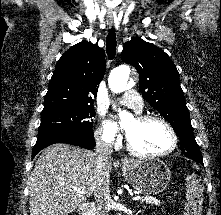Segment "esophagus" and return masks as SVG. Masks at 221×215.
Returning a JSON list of instances; mask_svg holds the SVG:
<instances>
[{"label":"esophagus","instance_id":"1","mask_svg":"<svg viewBox=\"0 0 221 215\" xmlns=\"http://www.w3.org/2000/svg\"><path fill=\"white\" fill-rule=\"evenodd\" d=\"M108 24L111 26L113 24V20L112 19H108ZM126 159H124L125 161Z\"/></svg>","mask_w":221,"mask_h":215}]
</instances>
